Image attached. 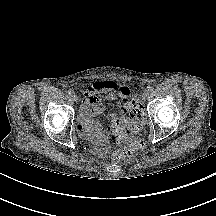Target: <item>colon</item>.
<instances>
[{
	"instance_id": "obj_1",
	"label": "colon",
	"mask_w": 216,
	"mask_h": 216,
	"mask_svg": "<svg viewBox=\"0 0 216 216\" xmlns=\"http://www.w3.org/2000/svg\"><path fill=\"white\" fill-rule=\"evenodd\" d=\"M125 111L127 116L116 118L110 125V139L117 146L115 152L117 159L130 158L144 148L143 140L134 137L142 129L146 120L144 105L133 97Z\"/></svg>"
}]
</instances>
